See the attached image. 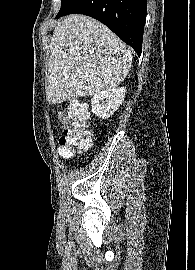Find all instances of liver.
<instances>
[{"mask_svg": "<svg viewBox=\"0 0 195 270\" xmlns=\"http://www.w3.org/2000/svg\"><path fill=\"white\" fill-rule=\"evenodd\" d=\"M131 63V50L105 25L80 14L64 17L51 38L46 99L57 104L116 88Z\"/></svg>", "mask_w": 195, "mask_h": 270, "instance_id": "obj_1", "label": "liver"}]
</instances>
